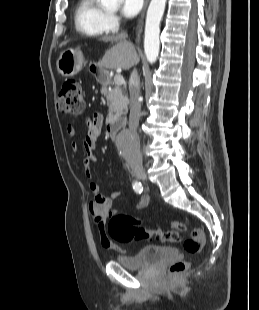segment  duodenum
<instances>
[{
	"mask_svg": "<svg viewBox=\"0 0 259 310\" xmlns=\"http://www.w3.org/2000/svg\"><path fill=\"white\" fill-rule=\"evenodd\" d=\"M91 71L94 75L98 76L102 82L104 83L107 82L108 79L106 75L103 72H101L98 67L96 66L91 67ZM106 129L109 136L111 138H115L118 132V124L115 121H109L106 126Z\"/></svg>",
	"mask_w": 259,
	"mask_h": 310,
	"instance_id": "obj_1",
	"label": "duodenum"
}]
</instances>
